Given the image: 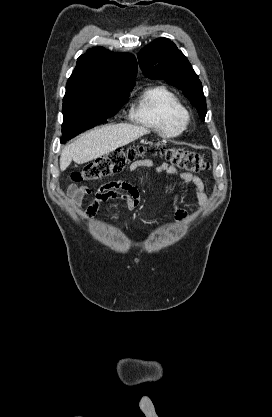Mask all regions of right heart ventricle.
I'll use <instances>...</instances> for the list:
<instances>
[{
	"instance_id": "obj_1",
	"label": "right heart ventricle",
	"mask_w": 272,
	"mask_h": 417,
	"mask_svg": "<svg viewBox=\"0 0 272 417\" xmlns=\"http://www.w3.org/2000/svg\"><path fill=\"white\" fill-rule=\"evenodd\" d=\"M187 115L180 98L163 85L145 89L131 110L132 120L165 137L181 135Z\"/></svg>"
}]
</instances>
